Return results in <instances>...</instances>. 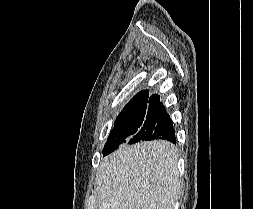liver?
Here are the masks:
<instances>
[{
  "instance_id": "obj_1",
  "label": "liver",
  "mask_w": 253,
  "mask_h": 209,
  "mask_svg": "<svg viewBox=\"0 0 253 209\" xmlns=\"http://www.w3.org/2000/svg\"><path fill=\"white\" fill-rule=\"evenodd\" d=\"M178 156L165 140L121 146L99 165L97 209H174L181 191Z\"/></svg>"
}]
</instances>
